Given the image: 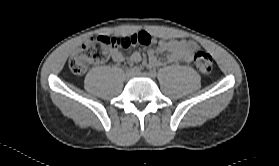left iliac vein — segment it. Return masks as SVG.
<instances>
[{"label": "left iliac vein", "instance_id": "left-iliac-vein-1", "mask_svg": "<svg viewBox=\"0 0 279 166\" xmlns=\"http://www.w3.org/2000/svg\"><path fill=\"white\" fill-rule=\"evenodd\" d=\"M136 76H141V77H148V78H153V76L149 73L143 72V73H137L135 74Z\"/></svg>", "mask_w": 279, "mask_h": 166}]
</instances>
